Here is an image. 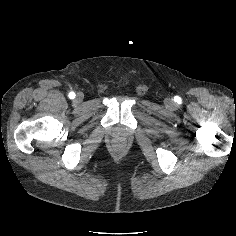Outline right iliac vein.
Instances as JSON below:
<instances>
[{
    "label": "right iliac vein",
    "instance_id": "obj_1",
    "mask_svg": "<svg viewBox=\"0 0 236 236\" xmlns=\"http://www.w3.org/2000/svg\"><path fill=\"white\" fill-rule=\"evenodd\" d=\"M83 100V95L81 93H78L76 96V102H81Z\"/></svg>",
    "mask_w": 236,
    "mask_h": 236
}]
</instances>
